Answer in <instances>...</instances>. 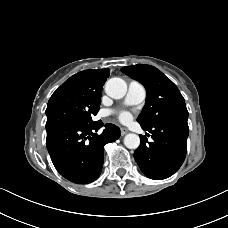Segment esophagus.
Returning <instances> with one entry per match:
<instances>
[{
    "label": "esophagus",
    "mask_w": 228,
    "mask_h": 228,
    "mask_svg": "<svg viewBox=\"0 0 228 228\" xmlns=\"http://www.w3.org/2000/svg\"><path fill=\"white\" fill-rule=\"evenodd\" d=\"M128 132H129V131H128L127 128H124V127L121 128V135H122V136L126 135Z\"/></svg>",
    "instance_id": "obj_1"
}]
</instances>
